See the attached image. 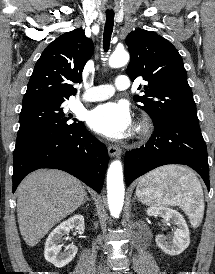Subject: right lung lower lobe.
I'll list each match as a JSON object with an SVG mask.
<instances>
[{
	"label": "right lung lower lobe",
	"instance_id": "98d812e1",
	"mask_svg": "<svg viewBox=\"0 0 215 274\" xmlns=\"http://www.w3.org/2000/svg\"><path fill=\"white\" fill-rule=\"evenodd\" d=\"M13 164V192L28 173L39 168H54L70 173L100 193L108 153L106 146L80 122L69 131L34 145Z\"/></svg>",
	"mask_w": 215,
	"mask_h": 274
}]
</instances>
